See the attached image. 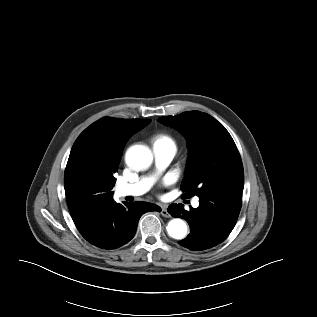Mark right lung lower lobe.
Masks as SVG:
<instances>
[{
    "label": "right lung lower lobe",
    "mask_w": 317,
    "mask_h": 317,
    "mask_svg": "<svg viewBox=\"0 0 317 317\" xmlns=\"http://www.w3.org/2000/svg\"><path fill=\"white\" fill-rule=\"evenodd\" d=\"M68 207L81 235L102 249H116L135 235L140 217L160 207L146 202L116 203L112 197L104 200L83 198L78 193L66 192Z\"/></svg>",
    "instance_id": "98d812e1"
}]
</instances>
